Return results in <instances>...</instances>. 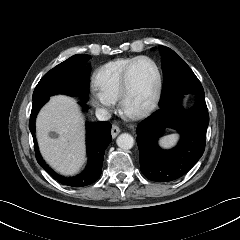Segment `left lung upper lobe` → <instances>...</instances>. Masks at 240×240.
I'll use <instances>...</instances> for the list:
<instances>
[{
	"mask_svg": "<svg viewBox=\"0 0 240 240\" xmlns=\"http://www.w3.org/2000/svg\"><path fill=\"white\" fill-rule=\"evenodd\" d=\"M163 70V90L159 106L177 95H204L203 87L190 67L170 48L159 47Z\"/></svg>",
	"mask_w": 240,
	"mask_h": 240,
	"instance_id": "obj_1",
	"label": "left lung upper lobe"
}]
</instances>
